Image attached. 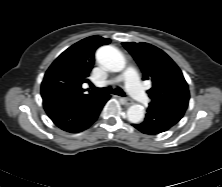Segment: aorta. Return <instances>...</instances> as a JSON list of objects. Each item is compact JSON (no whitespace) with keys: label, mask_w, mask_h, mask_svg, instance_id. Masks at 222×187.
Returning a JSON list of instances; mask_svg holds the SVG:
<instances>
[{"label":"aorta","mask_w":222,"mask_h":187,"mask_svg":"<svg viewBox=\"0 0 222 187\" xmlns=\"http://www.w3.org/2000/svg\"><path fill=\"white\" fill-rule=\"evenodd\" d=\"M96 60L106 70L120 72L126 66L123 54L112 46H102L96 52ZM127 117L131 123L137 124L144 119V108L140 104H134L127 110Z\"/></svg>","instance_id":"obj_1"}]
</instances>
